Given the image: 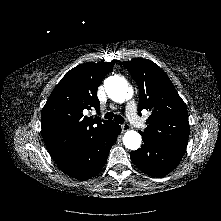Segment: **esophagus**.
<instances>
[{
	"label": "esophagus",
	"mask_w": 221,
	"mask_h": 221,
	"mask_svg": "<svg viewBox=\"0 0 221 221\" xmlns=\"http://www.w3.org/2000/svg\"><path fill=\"white\" fill-rule=\"evenodd\" d=\"M121 128H122V131H123V132H125V131H127V130L130 129V127H129L128 124H123V125L121 126Z\"/></svg>",
	"instance_id": "esophagus-1"
}]
</instances>
